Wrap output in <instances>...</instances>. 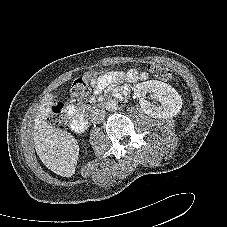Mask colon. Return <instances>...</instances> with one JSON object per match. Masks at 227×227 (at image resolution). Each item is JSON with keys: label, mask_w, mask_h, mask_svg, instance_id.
I'll return each instance as SVG.
<instances>
[{"label": "colon", "mask_w": 227, "mask_h": 227, "mask_svg": "<svg viewBox=\"0 0 227 227\" xmlns=\"http://www.w3.org/2000/svg\"><path fill=\"white\" fill-rule=\"evenodd\" d=\"M148 71L156 78L169 81L172 79L171 72L164 66L158 64H149L147 66ZM102 73H109L111 69H105L100 71ZM99 71H92L78 77L71 85L70 92L73 96H84L88 93L91 81L100 73ZM48 121L50 124L57 127H64L66 123V114L63 104L56 103L52 106Z\"/></svg>", "instance_id": "1"}]
</instances>
